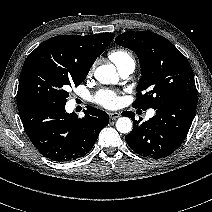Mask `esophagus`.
I'll use <instances>...</instances> for the list:
<instances>
[{
    "label": "esophagus",
    "instance_id": "esophagus-1",
    "mask_svg": "<svg viewBox=\"0 0 212 212\" xmlns=\"http://www.w3.org/2000/svg\"><path fill=\"white\" fill-rule=\"evenodd\" d=\"M109 117L112 120H116L117 118L120 117V114L118 112H111V113H109Z\"/></svg>",
    "mask_w": 212,
    "mask_h": 212
}]
</instances>
